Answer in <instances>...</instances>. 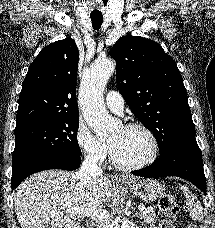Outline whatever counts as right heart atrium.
<instances>
[{"label": "right heart atrium", "instance_id": "1", "mask_svg": "<svg viewBox=\"0 0 215 228\" xmlns=\"http://www.w3.org/2000/svg\"><path fill=\"white\" fill-rule=\"evenodd\" d=\"M74 141L80 155L88 162L101 164L105 162L109 155L107 144L100 141L89 125L82 119L77 122Z\"/></svg>", "mask_w": 215, "mask_h": 228}]
</instances>
